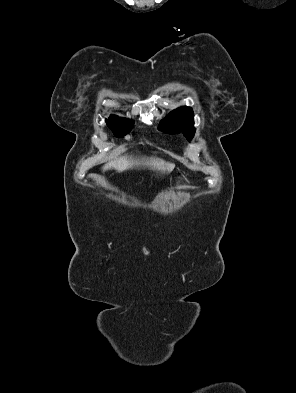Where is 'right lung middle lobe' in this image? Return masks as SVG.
Listing matches in <instances>:
<instances>
[{
    "mask_svg": "<svg viewBox=\"0 0 296 393\" xmlns=\"http://www.w3.org/2000/svg\"><path fill=\"white\" fill-rule=\"evenodd\" d=\"M106 123L116 137L124 136L134 125L133 121L114 115H111L108 119H106Z\"/></svg>",
    "mask_w": 296,
    "mask_h": 393,
    "instance_id": "right-lung-middle-lobe-1",
    "label": "right lung middle lobe"
}]
</instances>
